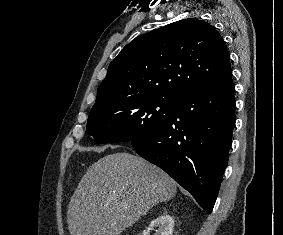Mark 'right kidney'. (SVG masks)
I'll list each match as a JSON object with an SVG mask.
<instances>
[{
  "label": "right kidney",
  "instance_id": "ca27d5eb",
  "mask_svg": "<svg viewBox=\"0 0 283 235\" xmlns=\"http://www.w3.org/2000/svg\"><path fill=\"white\" fill-rule=\"evenodd\" d=\"M154 228H158L160 235H172L174 220L168 214L160 215L158 218L151 221L149 227L142 232V235H149L150 230H153Z\"/></svg>",
  "mask_w": 283,
  "mask_h": 235
}]
</instances>
